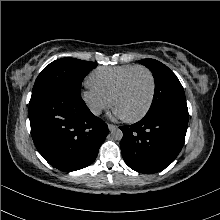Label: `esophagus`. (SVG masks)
<instances>
[{
  "label": "esophagus",
  "mask_w": 220,
  "mask_h": 220,
  "mask_svg": "<svg viewBox=\"0 0 220 220\" xmlns=\"http://www.w3.org/2000/svg\"><path fill=\"white\" fill-rule=\"evenodd\" d=\"M108 128H109L110 131H112V130L116 129L117 126L113 125V124H108Z\"/></svg>",
  "instance_id": "obj_1"
}]
</instances>
